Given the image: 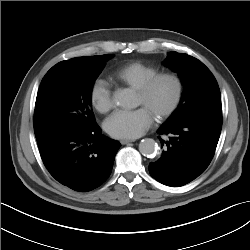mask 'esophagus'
Listing matches in <instances>:
<instances>
[{"label": "esophagus", "mask_w": 250, "mask_h": 250, "mask_svg": "<svg viewBox=\"0 0 250 250\" xmlns=\"http://www.w3.org/2000/svg\"><path fill=\"white\" fill-rule=\"evenodd\" d=\"M135 140H130V139H121L120 140V143L122 144V145H125V144H129V143H131V142H134Z\"/></svg>", "instance_id": "obj_1"}]
</instances>
